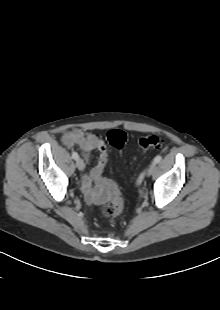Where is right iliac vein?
I'll return each instance as SVG.
<instances>
[{
  "instance_id": "63e3f726",
  "label": "right iliac vein",
  "mask_w": 220,
  "mask_h": 310,
  "mask_svg": "<svg viewBox=\"0 0 220 310\" xmlns=\"http://www.w3.org/2000/svg\"><path fill=\"white\" fill-rule=\"evenodd\" d=\"M76 166H77V168H78L80 171H83L84 168H85V163H84V161H83L81 158H78V159L76 160Z\"/></svg>"
}]
</instances>
